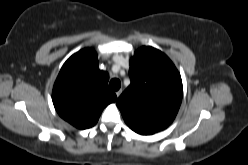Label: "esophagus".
Segmentation results:
<instances>
[{"instance_id": "obj_1", "label": "esophagus", "mask_w": 248, "mask_h": 165, "mask_svg": "<svg viewBox=\"0 0 248 165\" xmlns=\"http://www.w3.org/2000/svg\"><path fill=\"white\" fill-rule=\"evenodd\" d=\"M121 93H122V90L121 89L118 90V91H116V96L119 97L121 95Z\"/></svg>"}]
</instances>
